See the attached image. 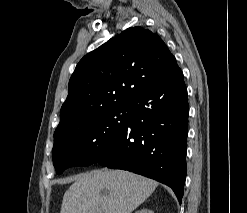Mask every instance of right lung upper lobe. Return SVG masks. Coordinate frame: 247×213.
Instances as JSON below:
<instances>
[{
  "instance_id": "cb5924a9",
  "label": "right lung upper lobe",
  "mask_w": 247,
  "mask_h": 213,
  "mask_svg": "<svg viewBox=\"0 0 247 213\" xmlns=\"http://www.w3.org/2000/svg\"><path fill=\"white\" fill-rule=\"evenodd\" d=\"M177 69L175 57L157 34L139 26L126 29L77 64L54 138L129 102Z\"/></svg>"
}]
</instances>
